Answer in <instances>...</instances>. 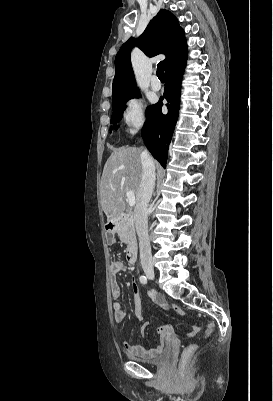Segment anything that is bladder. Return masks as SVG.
<instances>
[{
  "instance_id": "obj_1",
  "label": "bladder",
  "mask_w": 273,
  "mask_h": 401,
  "mask_svg": "<svg viewBox=\"0 0 273 401\" xmlns=\"http://www.w3.org/2000/svg\"><path fill=\"white\" fill-rule=\"evenodd\" d=\"M172 353H171V349L170 348H166L163 353L158 356L156 359L154 360H144L135 356H131L130 358L136 362L145 364V365H149V366H163L165 364H167L170 359H171Z\"/></svg>"
}]
</instances>
